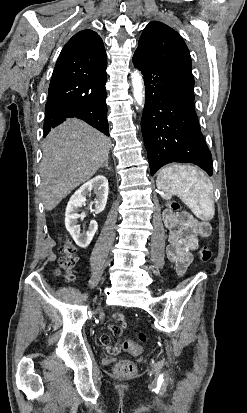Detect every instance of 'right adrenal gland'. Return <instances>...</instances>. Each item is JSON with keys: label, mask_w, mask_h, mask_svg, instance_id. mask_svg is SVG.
I'll use <instances>...</instances> for the list:
<instances>
[{"label": "right adrenal gland", "mask_w": 247, "mask_h": 413, "mask_svg": "<svg viewBox=\"0 0 247 413\" xmlns=\"http://www.w3.org/2000/svg\"><path fill=\"white\" fill-rule=\"evenodd\" d=\"M103 166H107L108 170H112L111 166L108 164V158H106L104 164H101V168H103Z\"/></svg>", "instance_id": "1"}]
</instances>
